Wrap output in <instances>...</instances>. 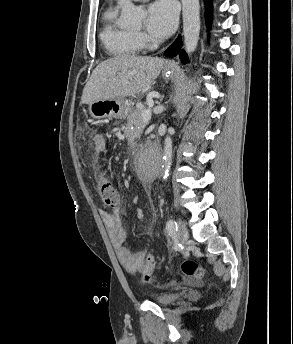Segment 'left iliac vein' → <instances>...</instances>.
Here are the masks:
<instances>
[{
    "label": "left iliac vein",
    "instance_id": "4c4485c4",
    "mask_svg": "<svg viewBox=\"0 0 293 344\" xmlns=\"http://www.w3.org/2000/svg\"><path fill=\"white\" fill-rule=\"evenodd\" d=\"M189 238V232L187 230V227L183 221H179V226L177 230V239L178 241L185 245L186 241Z\"/></svg>",
    "mask_w": 293,
    "mask_h": 344
}]
</instances>
